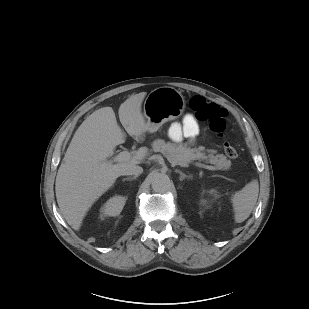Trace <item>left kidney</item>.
I'll return each instance as SVG.
<instances>
[{
  "label": "left kidney",
  "instance_id": "5707ae66",
  "mask_svg": "<svg viewBox=\"0 0 309 309\" xmlns=\"http://www.w3.org/2000/svg\"><path fill=\"white\" fill-rule=\"evenodd\" d=\"M202 204L205 205V204H206V201L202 200Z\"/></svg>",
  "mask_w": 309,
  "mask_h": 309
}]
</instances>
